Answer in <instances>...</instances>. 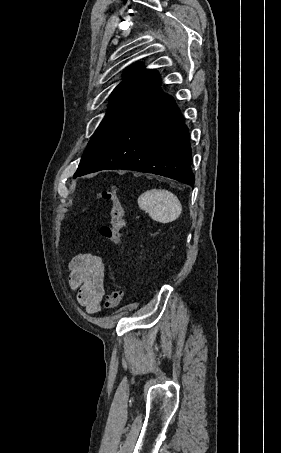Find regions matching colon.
<instances>
[{"mask_svg": "<svg viewBox=\"0 0 281 453\" xmlns=\"http://www.w3.org/2000/svg\"><path fill=\"white\" fill-rule=\"evenodd\" d=\"M98 195L111 208L108 223L100 228V234L110 244L119 246L122 243L121 233L127 227V217L121 186L118 183L109 184L102 187ZM80 218V216H77L75 220H79ZM122 300V288L115 287L105 299L103 308L104 310H113L120 305Z\"/></svg>", "mask_w": 281, "mask_h": 453, "instance_id": "obj_1", "label": "colon"}]
</instances>
